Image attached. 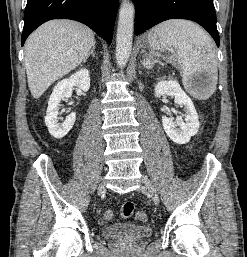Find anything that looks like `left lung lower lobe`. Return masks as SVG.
Returning a JSON list of instances; mask_svg holds the SVG:
<instances>
[{"mask_svg":"<svg viewBox=\"0 0 247 257\" xmlns=\"http://www.w3.org/2000/svg\"><path fill=\"white\" fill-rule=\"evenodd\" d=\"M135 34L168 19H187L204 27L219 47L213 0H134Z\"/></svg>","mask_w":247,"mask_h":257,"instance_id":"0a47b994","label":"left lung lower lobe"}]
</instances>
